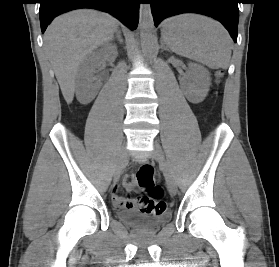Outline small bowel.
Segmentation results:
<instances>
[{"instance_id": "obj_1", "label": "small bowel", "mask_w": 279, "mask_h": 267, "mask_svg": "<svg viewBox=\"0 0 279 267\" xmlns=\"http://www.w3.org/2000/svg\"><path fill=\"white\" fill-rule=\"evenodd\" d=\"M124 186L129 191L134 189V184L129 178L125 179ZM112 201L115 206L120 208L132 209L136 206V199L118 194L116 186L112 189Z\"/></svg>"}]
</instances>
